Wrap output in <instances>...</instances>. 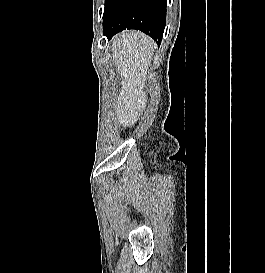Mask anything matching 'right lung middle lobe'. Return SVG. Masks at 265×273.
Instances as JSON below:
<instances>
[{
    "label": "right lung middle lobe",
    "instance_id": "right-lung-middle-lobe-1",
    "mask_svg": "<svg viewBox=\"0 0 265 273\" xmlns=\"http://www.w3.org/2000/svg\"><path fill=\"white\" fill-rule=\"evenodd\" d=\"M113 2H114V0H105V9H104V14H103V19L108 14Z\"/></svg>",
    "mask_w": 265,
    "mask_h": 273
}]
</instances>
